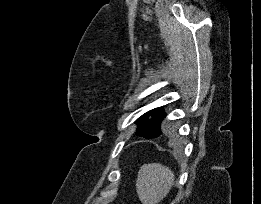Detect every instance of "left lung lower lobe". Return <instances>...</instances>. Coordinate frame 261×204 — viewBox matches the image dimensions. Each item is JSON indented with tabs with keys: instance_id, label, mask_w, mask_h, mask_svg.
<instances>
[{
	"instance_id": "left-lung-lower-lobe-1",
	"label": "left lung lower lobe",
	"mask_w": 261,
	"mask_h": 204,
	"mask_svg": "<svg viewBox=\"0 0 261 204\" xmlns=\"http://www.w3.org/2000/svg\"><path fill=\"white\" fill-rule=\"evenodd\" d=\"M163 131H164V132H167V129H166V127H164Z\"/></svg>"
}]
</instances>
